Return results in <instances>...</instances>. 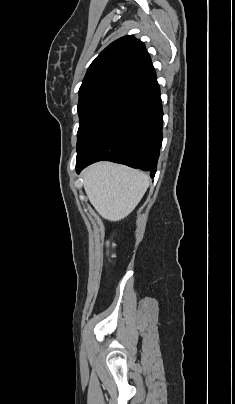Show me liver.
I'll list each match as a JSON object with an SVG mask.
<instances>
[{
	"mask_svg": "<svg viewBox=\"0 0 235 404\" xmlns=\"http://www.w3.org/2000/svg\"><path fill=\"white\" fill-rule=\"evenodd\" d=\"M82 176L90 203L109 221H119L129 215L149 186L147 174L111 162L93 164Z\"/></svg>",
	"mask_w": 235,
	"mask_h": 404,
	"instance_id": "6515ba94",
	"label": "liver"
}]
</instances>
